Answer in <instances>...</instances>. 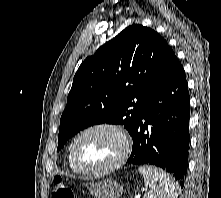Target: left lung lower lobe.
<instances>
[{"label":"left lung lower lobe","mask_w":221,"mask_h":198,"mask_svg":"<svg viewBox=\"0 0 221 198\" xmlns=\"http://www.w3.org/2000/svg\"><path fill=\"white\" fill-rule=\"evenodd\" d=\"M190 104L184 69L174 55L160 83L145 100L132 133L128 164H152L181 180L188 163Z\"/></svg>","instance_id":"left-lung-lower-lobe-1"}]
</instances>
